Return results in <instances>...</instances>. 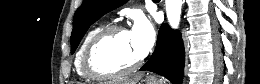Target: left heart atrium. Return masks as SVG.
Instances as JSON below:
<instances>
[{
    "mask_svg": "<svg viewBox=\"0 0 260 84\" xmlns=\"http://www.w3.org/2000/svg\"><path fill=\"white\" fill-rule=\"evenodd\" d=\"M130 34L139 56L147 55L155 42V31L152 23L145 16H138Z\"/></svg>",
    "mask_w": 260,
    "mask_h": 84,
    "instance_id": "left-heart-atrium-1",
    "label": "left heart atrium"
}]
</instances>
